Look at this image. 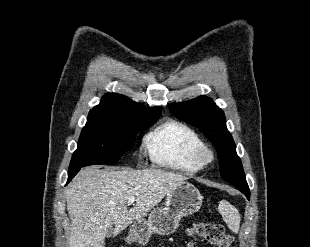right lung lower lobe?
<instances>
[{
    "mask_svg": "<svg viewBox=\"0 0 310 247\" xmlns=\"http://www.w3.org/2000/svg\"><path fill=\"white\" fill-rule=\"evenodd\" d=\"M80 168L69 170L67 184L73 179V177L79 172Z\"/></svg>",
    "mask_w": 310,
    "mask_h": 247,
    "instance_id": "right-lung-lower-lobe-1",
    "label": "right lung lower lobe"
}]
</instances>
